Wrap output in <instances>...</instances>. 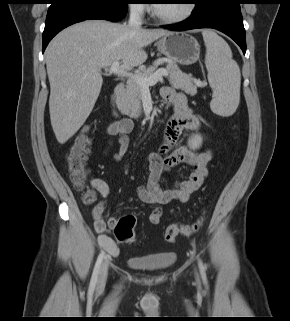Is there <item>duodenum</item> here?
<instances>
[{
    "instance_id": "obj_1",
    "label": "duodenum",
    "mask_w": 290,
    "mask_h": 321,
    "mask_svg": "<svg viewBox=\"0 0 290 321\" xmlns=\"http://www.w3.org/2000/svg\"><path fill=\"white\" fill-rule=\"evenodd\" d=\"M124 92H125L124 84L123 83L116 84L110 98L111 106L115 114L119 112V103L122 96L124 95Z\"/></svg>"
}]
</instances>
